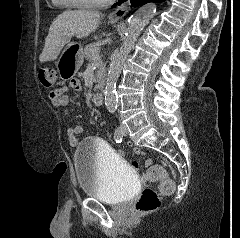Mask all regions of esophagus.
Instances as JSON below:
<instances>
[{"instance_id": "obj_1", "label": "esophagus", "mask_w": 240, "mask_h": 238, "mask_svg": "<svg viewBox=\"0 0 240 238\" xmlns=\"http://www.w3.org/2000/svg\"><path fill=\"white\" fill-rule=\"evenodd\" d=\"M130 0L124 1L119 5L113 12L108 15V18L111 20H120L122 19L130 10Z\"/></svg>"}]
</instances>
